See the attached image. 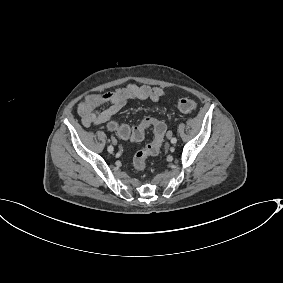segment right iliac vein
I'll return each instance as SVG.
<instances>
[{"label": "right iliac vein", "mask_w": 283, "mask_h": 283, "mask_svg": "<svg viewBox=\"0 0 283 283\" xmlns=\"http://www.w3.org/2000/svg\"><path fill=\"white\" fill-rule=\"evenodd\" d=\"M112 143H113L114 145H117V140H116L115 138H113V139H112Z\"/></svg>", "instance_id": "obj_1"}]
</instances>
